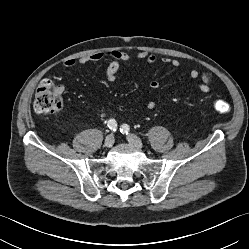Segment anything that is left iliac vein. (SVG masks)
<instances>
[{"mask_svg":"<svg viewBox=\"0 0 249 249\" xmlns=\"http://www.w3.org/2000/svg\"><path fill=\"white\" fill-rule=\"evenodd\" d=\"M127 140L130 144L134 145L136 148L138 149H141L143 147V143L142 141L140 140L139 137H137L136 135L134 134H129L127 136Z\"/></svg>","mask_w":249,"mask_h":249,"instance_id":"1","label":"left iliac vein"}]
</instances>
